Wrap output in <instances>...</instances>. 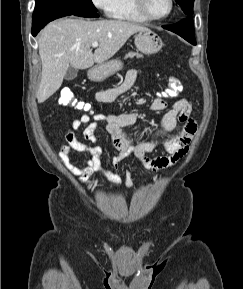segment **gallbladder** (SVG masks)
Instances as JSON below:
<instances>
[{
	"label": "gallbladder",
	"instance_id": "gallbladder-1",
	"mask_svg": "<svg viewBox=\"0 0 243 289\" xmlns=\"http://www.w3.org/2000/svg\"><path fill=\"white\" fill-rule=\"evenodd\" d=\"M78 70L72 66H70L65 74V79L67 81H71L77 77Z\"/></svg>",
	"mask_w": 243,
	"mask_h": 289
}]
</instances>
